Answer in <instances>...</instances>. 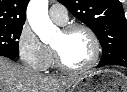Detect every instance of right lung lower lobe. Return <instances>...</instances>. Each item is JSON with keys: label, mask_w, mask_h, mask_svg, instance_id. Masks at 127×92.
<instances>
[{"label": "right lung lower lobe", "mask_w": 127, "mask_h": 92, "mask_svg": "<svg viewBox=\"0 0 127 92\" xmlns=\"http://www.w3.org/2000/svg\"><path fill=\"white\" fill-rule=\"evenodd\" d=\"M1 56H5V57H8L10 59H13L15 58L14 56H11V55H7V54H4V53H0Z\"/></svg>", "instance_id": "1"}]
</instances>
